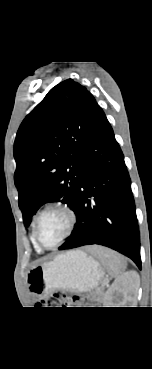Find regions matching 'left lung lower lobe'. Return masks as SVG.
Wrapping results in <instances>:
<instances>
[{"mask_svg": "<svg viewBox=\"0 0 152 369\" xmlns=\"http://www.w3.org/2000/svg\"><path fill=\"white\" fill-rule=\"evenodd\" d=\"M82 177L76 192L77 222L59 247L98 244L132 259L141 269L140 236L124 156L102 109L84 149Z\"/></svg>", "mask_w": 152, "mask_h": 369, "instance_id": "1", "label": "left lung lower lobe"}]
</instances>
